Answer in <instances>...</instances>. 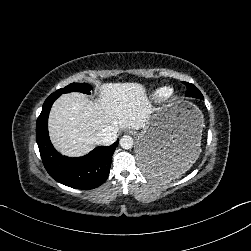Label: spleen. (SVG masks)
<instances>
[{
  "instance_id": "3e777b00",
  "label": "spleen",
  "mask_w": 251,
  "mask_h": 251,
  "mask_svg": "<svg viewBox=\"0 0 251 251\" xmlns=\"http://www.w3.org/2000/svg\"><path fill=\"white\" fill-rule=\"evenodd\" d=\"M191 167V164L188 163H183L182 167L178 170L177 173L172 174L169 173L165 168L162 166L158 165L157 163L151 162L149 165V175L148 178H153V179H161L164 182H168L171 179L174 178H179L184 174L186 171H188Z\"/></svg>"
}]
</instances>
